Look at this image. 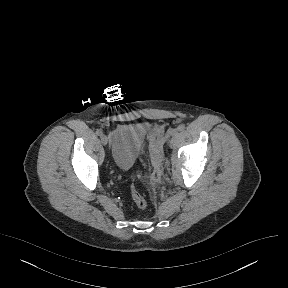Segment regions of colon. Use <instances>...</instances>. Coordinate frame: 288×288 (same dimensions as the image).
Instances as JSON below:
<instances>
[{
	"instance_id": "5ec220e1",
	"label": "colon",
	"mask_w": 288,
	"mask_h": 288,
	"mask_svg": "<svg viewBox=\"0 0 288 288\" xmlns=\"http://www.w3.org/2000/svg\"><path fill=\"white\" fill-rule=\"evenodd\" d=\"M131 194H132V199L137 208L143 210L147 207L146 199L138 190L135 189V187H132Z\"/></svg>"
}]
</instances>
